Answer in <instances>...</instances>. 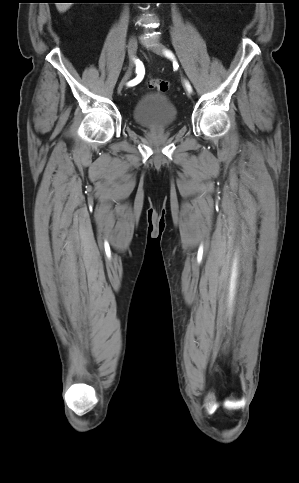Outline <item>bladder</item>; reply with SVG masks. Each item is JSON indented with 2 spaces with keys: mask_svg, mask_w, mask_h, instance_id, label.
I'll return each instance as SVG.
<instances>
[{
  "mask_svg": "<svg viewBox=\"0 0 299 483\" xmlns=\"http://www.w3.org/2000/svg\"><path fill=\"white\" fill-rule=\"evenodd\" d=\"M132 114L139 125L151 129L169 127L177 118L175 106L162 92L150 93L140 98Z\"/></svg>",
  "mask_w": 299,
  "mask_h": 483,
  "instance_id": "31cf9c89",
  "label": "bladder"
}]
</instances>
